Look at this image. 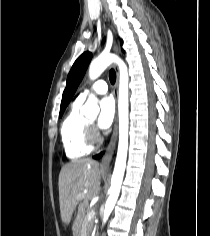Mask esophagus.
Segmentation results:
<instances>
[{"instance_id": "esophagus-1", "label": "esophagus", "mask_w": 210, "mask_h": 236, "mask_svg": "<svg viewBox=\"0 0 210 236\" xmlns=\"http://www.w3.org/2000/svg\"><path fill=\"white\" fill-rule=\"evenodd\" d=\"M114 50L116 53H119L118 51V47L115 45L114 46ZM117 75V81H116V89L118 88V83H119V73L118 71L116 72ZM115 99H116V113H115V118H114V124H113V132L111 135V139L109 144L107 145L105 151H104V155L101 161V168L102 169H108L109 168V163L112 157V154L116 148V143H117V138H118V112H117V99H118V95H117V91L115 94Z\"/></svg>"}]
</instances>
